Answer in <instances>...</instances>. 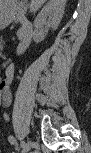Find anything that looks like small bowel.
<instances>
[{
	"label": "small bowel",
	"instance_id": "small-bowel-1",
	"mask_svg": "<svg viewBox=\"0 0 91 153\" xmlns=\"http://www.w3.org/2000/svg\"><path fill=\"white\" fill-rule=\"evenodd\" d=\"M13 78V67L8 62L3 63V76L0 80V102L3 106H9L11 104V92L10 85ZM8 141L11 145L16 144L14 136H9Z\"/></svg>",
	"mask_w": 91,
	"mask_h": 153
}]
</instances>
